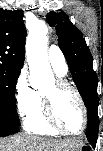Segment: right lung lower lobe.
Listing matches in <instances>:
<instances>
[{"label": "right lung lower lobe", "mask_w": 103, "mask_h": 151, "mask_svg": "<svg viewBox=\"0 0 103 151\" xmlns=\"http://www.w3.org/2000/svg\"><path fill=\"white\" fill-rule=\"evenodd\" d=\"M19 132V127H14L0 121V137L8 136Z\"/></svg>", "instance_id": "obj_1"}]
</instances>
